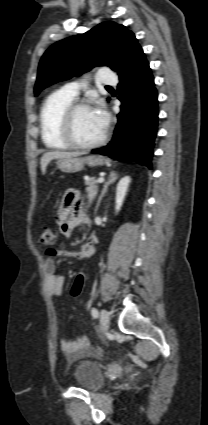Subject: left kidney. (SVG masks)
Masks as SVG:
<instances>
[{"label": "left kidney", "instance_id": "left-kidney-1", "mask_svg": "<svg viewBox=\"0 0 208 425\" xmlns=\"http://www.w3.org/2000/svg\"><path fill=\"white\" fill-rule=\"evenodd\" d=\"M131 182V178L129 176L123 177L116 188V212L121 209L123 201L125 199L126 193L128 191L129 183Z\"/></svg>", "mask_w": 208, "mask_h": 425}]
</instances>
